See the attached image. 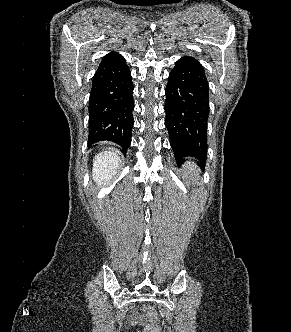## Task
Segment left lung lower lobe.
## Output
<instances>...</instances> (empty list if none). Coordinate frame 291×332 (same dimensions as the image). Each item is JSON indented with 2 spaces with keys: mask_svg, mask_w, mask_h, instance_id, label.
Wrapping results in <instances>:
<instances>
[{
  "mask_svg": "<svg viewBox=\"0 0 291 332\" xmlns=\"http://www.w3.org/2000/svg\"><path fill=\"white\" fill-rule=\"evenodd\" d=\"M165 95V124L175 158L192 156L203 164L208 149L209 85L199 61L180 58L169 74ZM183 144L189 145L191 152H184Z\"/></svg>",
  "mask_w": 291,
  "mask_h": 332,
  "instance_id": "1",
  "label": "left lung lower lobe"
}]
</instances>
